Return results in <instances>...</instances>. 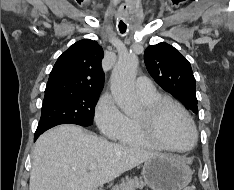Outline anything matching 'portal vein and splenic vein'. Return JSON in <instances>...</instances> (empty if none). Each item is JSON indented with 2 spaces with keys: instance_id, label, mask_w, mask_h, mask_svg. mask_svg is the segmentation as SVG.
<instances>
[{
  "instance_id": "portal-vein-and-splenic-vein-1",
  "label": "portal vein and splenic vein",
  "mask_w": 234,
  "mask_h": 190,
  "mask_svg": "<svg viewBox=\"0 0 234 190\" xmlns=\"http://www.w3.org/2000/svg\"><path fill=\"white\" fill-rule=\"evenodd\" d=\"M96 167H97V165L95 163H92V164L89 165L88 170L93 171V170L96 169Z\"/></svg>"
}]
</instances>
